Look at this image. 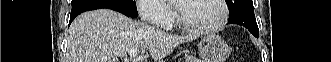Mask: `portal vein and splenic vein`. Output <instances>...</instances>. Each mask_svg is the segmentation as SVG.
Returning <instances> with one entry per match:
<instances>
[{
	"instance_id": "portal-vein-and-splenic-vein-1",
	"label": "portal vein and splenic vein",
	"mask_w": 331,
	"mask_h": 62,
	"mask_svg": "<svg viewBox=\"0 0 331 62\" xmlns=\"http://www.w3.org/2000/svg\"><path fill=\"white\" fill-rule=\"evenodd\" d=\"M138 54H139V49L137 48H133L129 51V55L131 59H135L138 56Z\"/></svg>"
}]
</instances>
